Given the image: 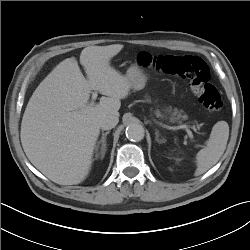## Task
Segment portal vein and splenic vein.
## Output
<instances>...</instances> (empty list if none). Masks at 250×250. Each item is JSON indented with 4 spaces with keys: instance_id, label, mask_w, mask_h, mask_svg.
Instances as JSON below:
<instances>
[{
    "instance_id": "18ae733b",
    "label": "portal vein and splenic vein",
    "mask_w": 250,
    "mask_h": 250,
    "mask_svg": "<svg viewBox=\"0 0 250 250\" xmlns=\"http://www.w3.org/2000/svg\"><path fill=\"white\" fill-rule=\"evenodd\" d=\"M97 96H98L97 92H93V93H92V101H91L92 104H94V101L96 100ZM75 113H78V112H75ZM179 128H180V129H185V130L187 131L189 137H190V138H193L192 131L189 129L190 127H189L188 125L183 124V125H180ZM191 128H192L194 131H197V129H196L195 126H193V127H191Z\"/></svg>"
}]
</instances>
